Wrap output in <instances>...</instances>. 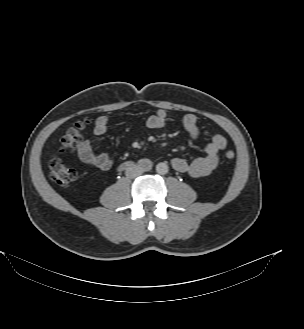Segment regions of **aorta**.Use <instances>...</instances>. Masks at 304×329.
I'll list each match as a JSON object with an SVG mask.
<instances>
[{"label": "aorta", "mask_w": 304, "mask_h": 329, "mask_svg": "<svg viewBox=\"0 0 304 329\" xmlns=\"http://www.w3.org/2000/svg\"><path fill=\"white\" fill-rule=\"evenodd\" d=\"M157 173L164 175L168 172V165L165 162H160L156 165Z\"/></svg>", "instance_id": "obj_1"}]
</instances>
